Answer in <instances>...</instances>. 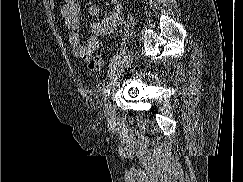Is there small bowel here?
Returning <instances> with one entry per match:
<instances>
[{"mask_svg":"<svg viewBox=\"0 0 243 182\" xmlns=\"http://www.w3.org/2000/svg\"><path fill=\"white\" fill-rule=\"evenodd\" d=\"M114 5V9L101 21L90 25V35L83 41L78 30L83 23V13L78 0H63L61 15L68 31L71 51L77 59L89 61L93 53L98 50L100 39L113 32L120 22L122 4L120 0H109ZM100 9L92 4L88 7L87 15L98 16Z\"/></svg>","mask_w":243,"mask_h":182,"instance_id":"obj_1","label":"small bowel"}]
</instances>
